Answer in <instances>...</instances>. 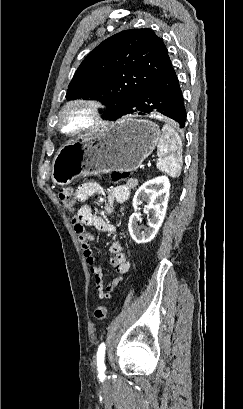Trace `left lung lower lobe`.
Listing matches in <instances>:
<instances>
[{
    "mask_svg": "<svg viewBox=\"0 0 243 409\" xmlns=\"http://www.w3.org/2000/svg\"><path fill=\"white\" fill-rule=\"evenodd\" d=\"M155 112L177 121L181 128L185 126L183 95L173 68L147 87L128 109L118 113L115 120L126 114L146 115Z\"/></svg>",
    "mask_w": 243,
    "mask_h": 409,
    "instance_id": "obj_1",
    "label": "left lung lower lobe"
}]
</instances>
